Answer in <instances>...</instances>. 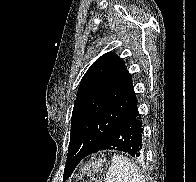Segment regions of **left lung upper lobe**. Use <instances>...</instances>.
Here are the masks:
<instances>
[{
	"label": "left lung upper lobe",
	"mask_w": 196,
	"mask_h": 182,
	"mask_svg": "<svg viewBox=\"0 0 196 182\" xmlns=\"http://www.w3.org/2000/svg\"><path fill=\"white\" fill-rule=\"evenodd\" d=\"M136 101L124 61L111 52L100 56L79 85L71 118L69 151L82 148L92 152ZM76 166L67 159L64 181Z\"/></svg>",
	"instance_id": "left-lung-upper-lobe-1"
}]
</instances>
